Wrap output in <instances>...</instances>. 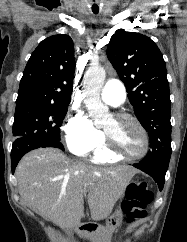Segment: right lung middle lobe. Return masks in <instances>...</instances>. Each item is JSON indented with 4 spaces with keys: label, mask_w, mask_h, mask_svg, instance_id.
Masks as SVG:
<instances>
[{
    "label": "right lung middle lobe",
    "mask_w": 187,
    "mask_h": 242,
    "mask_svg": "<svg viewBox=\"0 0 187 242\" xmlns=\"http://www.w3.org/2000/svg\"><path fill=\"white\" fill-rule=\"evenodd\" d=\"M67 107L29 105L16 107L13 135L60 141V126Z\"/></svg>",
    "instance_id": "obj_1"
}]
</instances>
